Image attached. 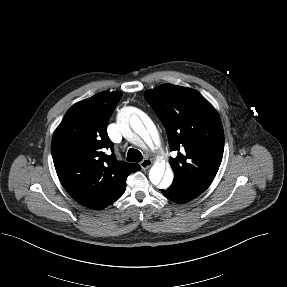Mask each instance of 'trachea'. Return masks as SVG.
I'll list each match as a JSON object with an SVG mask.
<instances>
[{"label":"trachea","mask_w":287,"mask_h":287,"mask_svg":"<svg viewBox=\"0 0 287 287\" xmlns=\"http://www.w3.org/2000/svg\"><path fill=\"white\" fill-rule=\"evenodd\" d=\"M127 161L140 162L143 159L142 153L134 148H130L127 153Z\"/></svg>","instance_id":"3493384b"}]
</instances>
